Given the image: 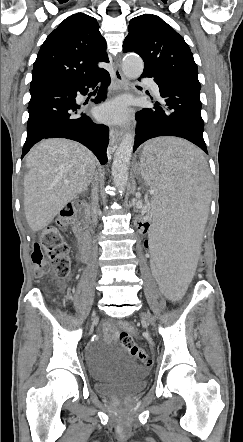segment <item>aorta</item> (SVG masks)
Instances as JSON below:
<instances>
[{"label":"aorta","instance_id":"762f6f07","mask_svg":"<svg viewBox=\"0 0 243 442\" xmlns=\"http://www.w3.org/2000/svg\"><path fill=\"white\" fill-rule=\"evenodd\" d=\"M124 74L132 79L138 78L144 69L142 59L134 54L126 55L122 62ZM134 133L127 132L119 144L112 163V177L119 193H123L128 182V170L134 146Z\"/></svg>","mask_w":243,"mask_h":442}]
</instances>
